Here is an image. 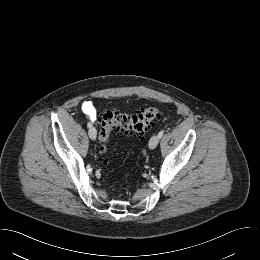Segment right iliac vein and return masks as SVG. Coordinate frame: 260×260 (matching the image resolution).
Listing matches in <instances>:
<instances>
[{"mask_svg":"<svg viewBox=\"0 0 260 260\" xmlns=\"http://www.w3.org/2000/svg\"><path fill=\"white\" fill-rule=\"evenodd\" d=\"M88 134H89V137L92 139V140H95L96 139V136H97V131L94 127H91L88 131Z\"/></svg>","mask_w":260,"mask_h":260,"instance_id":"right-iliac-vein-1","label":"right iliac vein"}]
</instances>
